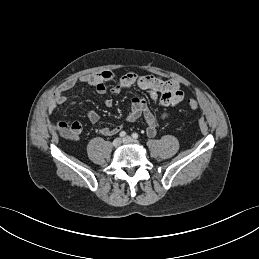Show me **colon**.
<instances>
[{"mask_svg":"<svg viewBox=\"0 0 259 259\" xmlns=\"http://www.w3.org/2000/svg\"><path fill=\"white\" fill-rule=\"evenodd\" d=\"M198 106L199 105L196 100H190L188 103V107L191 110H196L198 108ZM54 128L57 129L59 134L66 139L76 138L81 131V125L78 122L59 123V124L55 125Z\"/></svg>","mask_w":259,"mask_h":259,"instance_id":"5ec220e1","label":"colon"}]
</instances>
